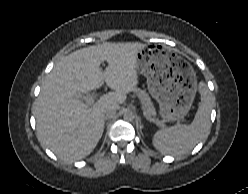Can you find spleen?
<instances>
[{"instance_id":"obj_1","label":"spleen","mask_w":248,"mask_h":194,"mask_svg":"<svg viewBox=\"0 0 248 194\" xmlns=\"http://www.w3.org/2000/svg\"><path fill=\"white\" fill-rule=\"evenodd\" d=\"M201 102L190 125L177 124L157 131L152 139L153 146L162 154L182 155L191 151L210 132V113L213 98L204 82L199 83Z\"/></svg>"}]
</instances>
